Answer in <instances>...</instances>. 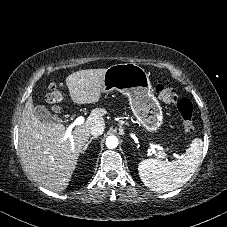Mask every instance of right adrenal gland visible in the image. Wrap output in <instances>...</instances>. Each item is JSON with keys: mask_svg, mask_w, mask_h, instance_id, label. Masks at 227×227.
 Instances as JSON below:
<instances>
[{"mask_svg": "<svg viewBox=\"0 0 227 227\" xmlns=\"http://www.w3.org/2000/svg\"><path fill=\"white\" fill-rule=\"evenodd\" d=\"M95 138H97V137L94 136V137L90 138V140L85 144V147L83 148L84 151L88 148V146L91 144L92 140H94Z\"/></svg>", "mask_w": 227, "mask_h": 227, "instance_id": "right-adrenal-gland-1", "label": "right adrenal gland"}]
</instances>
